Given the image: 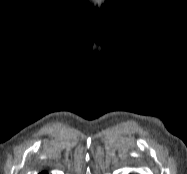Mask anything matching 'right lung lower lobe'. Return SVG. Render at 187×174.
<instances>
[{"mask_svg": "<svg viewBox=\"0 0 187 174\" xmlns=\"http://www.w3.org/2000/svg\"><path fill=\"white\" fill-rule=\"evenodd\" d=\"M42 174H47L46 172H42Z\"/></svg>", "mask_w": 187, "mask_h": 174, "instance_id": "1", "label": "right lung lower lobe"}]
</instances>
